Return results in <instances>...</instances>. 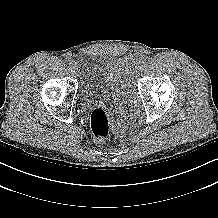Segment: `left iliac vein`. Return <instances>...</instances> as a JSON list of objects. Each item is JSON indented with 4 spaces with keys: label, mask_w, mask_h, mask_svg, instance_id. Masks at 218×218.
<instances>
[{
    "label": "left iliac vein",
    "mask_w": 218,
    "mask_h": 218,
    "mask_svg": "<svg viewBox=\"0 0 218 218\" xmlns=\"http://www.w3.org/2000/svg\"><path fill=\"white\" fill-rule=\"evenodd\" d=\"M142 67L141 63H138L137 65H134V67H131V72H137Z\"/></svg>",
    "instance_id": "obj_1"
}]
</instances>
